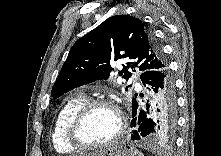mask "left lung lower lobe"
<instances>
[{"label": "left lung lower lobe", "instance_id": "1", "mask_svg": "<svg viewBox=\"0 0 221 156\" xmlns=\"http://www.w3.org/2000/svg\"><path fill=\"white\" fill-rule=\"evenodd\" d=\"M142 102L132 100L131 140L169 139L176 121V92L168 64L140 75Z\"/></svg>", "mask_w": 221, "mask_h": 156}]
</instances>
